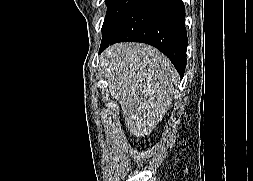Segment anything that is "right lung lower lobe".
Listing matches in <instances>:
<instances>
[{
  "instance_id": "98d812e1",
  "label": "right lung lower lobe",
  "mask_w": 253,
  "mask_h": 181,
  "mask_svg": "<svg viewBox=\"0 0 253 181\" xmlns=\"http://www.w3.org/2000/svg\"><path fill=\"white\" fill-rule=\"evenodd\" d=\"M182 0H134L102 33L99 53L116 42H143L174 64L181 78L186 66L187 32Z\"/></svg>"
}]
</instances>
